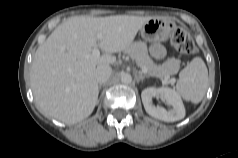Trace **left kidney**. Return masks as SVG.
Returning <instances> with one entry per match:
<instances>
[{"label":"left kidney","mask_w":238,"mask_h":158,"mask_svg":"<svg viewBox=\"0 0 238 158\" xmlns=\"http://www.w3.org/2000/svg\"><path fill=\"white\" fill-rule=\"evenodd\" d=\"M154 97L162 98L172 108L167 111L163 107H156L152 102ZM141 98L146 112L154 118L166 122H175L185 117L182 99L173 89L148 87L142 91Z\"/></svg>","instance_id":"1"}]
</instances>
